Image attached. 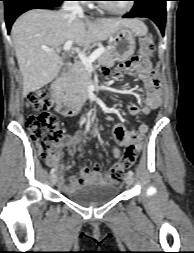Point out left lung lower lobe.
<instances>
[{
  "instance_id": "left-lung-lower-lobe-1",
  "label": "left lung lower lobe",
  "mask_w": 194,
  "mask_h": 253,
  "mask_svg": "<svg viewBox=\"0 0 194 253\" xmlns=\"http://www.w3.org/2000/svg\"><path fill=\"white\" fill-rule=\"evenodd\" d=\"M135 1L132 10L125 14V18L147 17L154 21L164 34L166 22V1L167 0H133Z\"/></svg>"
}]
</instances>
